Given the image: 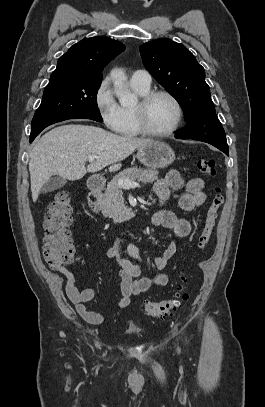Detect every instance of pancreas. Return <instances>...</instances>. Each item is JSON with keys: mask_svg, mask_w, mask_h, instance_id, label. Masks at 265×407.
<instances>
[{"mask_svg": "<svg viewBox=\"0 0 265 407\" xmlns=\"http://www.w3.org/2000/svg\"><path fill=\"white\" fill-rule=\"evenodd\" d=\"M121 179L137 180L143 184L153 183L158 179V172L151 169L137 167L127 168L116 175L107 185L105 193L99 198V208L105 217L121 221L127 216V208L124 204L122 187L118 185Z\"/></svg>", "mask_w": 265, "mask_h": 407, "instance_id": "obj_1", "label": "pancreas"}]
</instances>
